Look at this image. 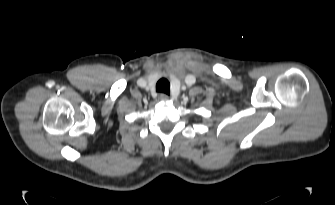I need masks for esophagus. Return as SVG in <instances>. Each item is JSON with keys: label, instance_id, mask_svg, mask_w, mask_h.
<instances>
[{"label": "esophagus", "instance_id": "34e87169", "mask_svg": "<svg viewBox=\"0 0 335 205\" xmlns=\"http://www.w3.org/2000/svg\"><path fill=\"white\" fill-rule=\"evenodd\" d=\"M159 98H160L161 101H168L169 100V96L167 94H164V93L160 94Z\"/></svg>", "mask_w": 335, "mask_h": 205}]
</instances>
